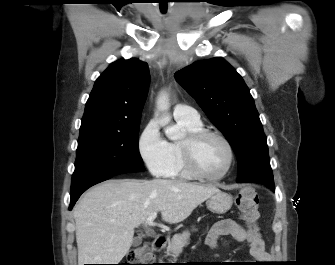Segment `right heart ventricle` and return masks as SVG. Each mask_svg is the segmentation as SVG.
Instances as JSON below:
<instances>
[{"label":"right heart ventricle","instance_id":"1","mask_svg":"<svg viewBox=\"0 0 335 265\" xmlns=\"http://www.w3.org/2000/svg\"><path fill=\"white\" fill-rule=\"evenodd\" d=\"M178 124L183 127L188 133L199 131L203 129V125L200 122L192 123L184 120H177ZM172 152V163L165 177L171 179L180 180H191L194 177L187 171L183 161V155L181 150V142L173 141L169 142Z\"/></svg>","mask_w":335,"mask_h":265}]
</instances>
